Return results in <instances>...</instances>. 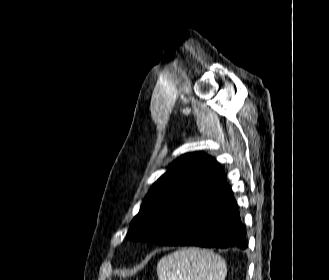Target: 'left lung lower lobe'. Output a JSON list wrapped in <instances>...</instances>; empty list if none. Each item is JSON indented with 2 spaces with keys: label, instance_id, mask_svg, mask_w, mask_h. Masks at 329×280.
<instances>
[{
  "label": "left lung lower lobe",
  "instance_id": "1",
  "mask_svg": "<svg viewBox=\"0 0 329 280\" xmlns=\"http://www.w3.org/2000/svg\"><path fill=\"white\" fill-rule=\"evenodd\" d=\"M160 235L167 245L246 249V229L230 186L224 181L188 202Z\"/></svg>",
  "mask_w": 329,
  "mask_h": 280
}]
</instances>
